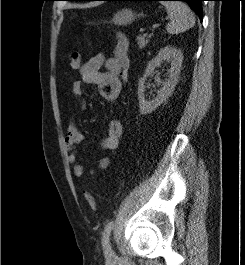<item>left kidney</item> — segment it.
<instances>
[{
	"instance_id": "obj_1",
	"label": "left kidney",
	"mask_w": 245,
	"mask_h": 265,
	"mask_svg": "<svg viewBox=\"0 0 245 265\" xmlns=\"http://www.w3.org/2000/svg\"><path fill=\"white\" fill-rule=\"evenodd\" d=\"M163 61L170 63L171 67L168 70V79L158 83L162 84V88L158 91L157 96L151 100H145V80L148 76L154 73L156 67H158ZM183 61V53L180 49L172 46H166L160 49L157 56L148 62L145 73L138 82V100L139 109L142 115H146L154 111L158 106H160L173 92L175 85L177 84L181 65Z\"/></svg>"
}]
</instances>
